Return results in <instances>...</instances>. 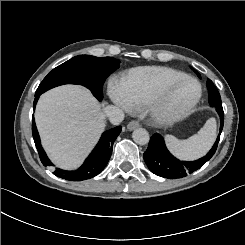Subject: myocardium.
Masks as SVG:
<instances>
[{
    "label": "myocardium",
    "instance_id": "obj_1",
    "mask_svg": "<svg viewBox=\"0 0 245 245\" xmlns=\"http://www.w3.org/2000/svg\"><path fill=\"white\" fill-rule=\"evenodd\" d=\"M184 81H192L197 87V94L194 100L186 107L180 110H172L164 105L162 95L171 87L182 83ZM202 96V87L199 81L190 76H183L174 79L159 81L151 90L146 99V106L150 115L158 122H170L173 120L181 119L190 114L198 104Z\"/></svg>",
    "mask_w": 245,
    "mask_h": 245
}]
</instances>
